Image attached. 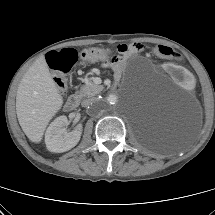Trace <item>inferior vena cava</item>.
<instances>
[{"label":"inferior vena cava","mask_w":215,"mask_h":215,"mask_svg":"<svg viewBox=\"0 0 215 215\" xmlns=\"http://www.w3.org/2000/svg\"><path fill=\"white\" fill-rule=\"evenodd\" d=\"M99 103V99L97 98H89V99H85L82 101V106L83 107H87L90 104H98Z\"/></svg>","instance_id":"1"}]
</instances>
